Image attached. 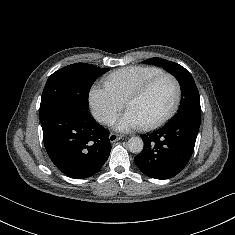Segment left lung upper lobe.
Segmentation results:
<instances>
[{
  "label": "left lung upper lobe",
  "instance_id": "5c2ea615",
  "mask_svg": "<svg viewBox=\"0 0 235 235\" xmlns=\"http://www.w3.org/2000/svg\"><path fill=\"white\" fill-rule=\"evenodd\" d=\"M145 63H155L164 67L169 71L179 82L181 87V103L176 116L171 119L176 120L185 116H196L201 118V107L199 92L194 82L193 77L183 66L167 61L161 58H151L144 61Z\"/></svg>",
  "mask_w": 235,
  "mask_h": 235
}]
</instances>
